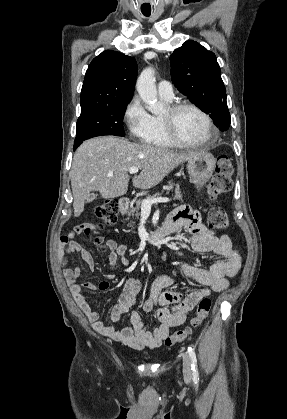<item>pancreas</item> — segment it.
I'll use <instances>...</instances> for the list:
<instances>
[{
	"label": "pancreas",
	"instance_id": "cf45deb5",
	"mask_svg": "<svg viewBox=\"0 0 287 419\" xmlns=\"http://www.w3.org/2000/svg\"><path fill=\"white\" fill-rule=\"evenodd\" d=\"M168 190H173L175 191V194L173 196V199H177V200H182V193L180 190V187L178 184H174L173 182H169V184L167 185ZM158 194H155L153 196H150L148 199H153L157 196ZM141 204L142 201H136V206L135 207H130L129 211L127 212V216H136L139 217L140 213L138 212L139 209L141 208Z\"/></svg>",
	"mask_w": 287,
	"mask_h": 419
}]
</instances>
